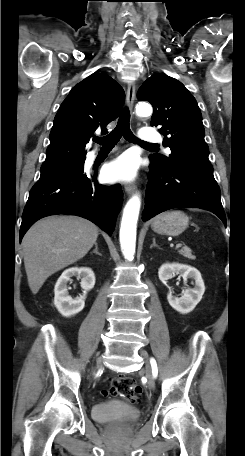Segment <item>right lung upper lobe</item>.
Segmentation results:
<instances>
[{"instance_id":"right-lung-upper-lobe-1","label":"right lung upper lobe","mask_w":245,"mask_h":456,"mask_svg":"<svg viewBox=\"0 0 245 456\" xmlns=\"http://www.w3.org/2000/svg\"><path fill=\"white\" fill-rule=\"evenodd\" d=\"M123 102L122 87L105 74L94 73L74 86L55 116L41 168L85 160V145L97 128L106 132Z\"/></svg>"}]
</instances>
